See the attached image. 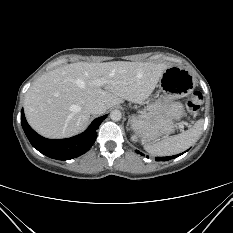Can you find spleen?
I'll return each instance as SVG.
<instances>
[{"label":"spleen","instance_id":"1","mask_svg":"<svg viewBox=\"0 0 233 233\" xmlns=\"http://www.w3.org/2000/svg\"><path fill=\"white\" fill-rule=\"evenodd\" d=\"M202 127L203 120H198L191 129L161 141H148L139 133L143 147L148 153L154 156H170L181 153L194 144L201 134Z\"/></svg>","mask_w":233,"mask_h":233}]
</instances>
